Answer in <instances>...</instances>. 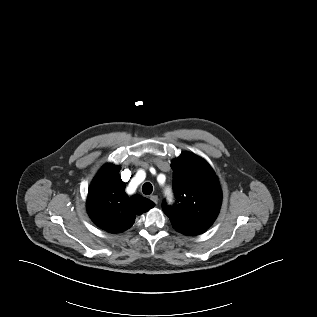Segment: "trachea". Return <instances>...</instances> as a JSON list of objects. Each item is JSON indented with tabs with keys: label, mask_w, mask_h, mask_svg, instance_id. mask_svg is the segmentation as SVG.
Listing matches in <instances>:
<instances>
[{
	"label": "trachea",
	"mask_w": 317,
	"mask_h": 317,
	"mask_svg": "<svg viewBox=\"0 0 317 317\" xmlns=\"http://www.w3.org/2000/svg\"><path fill=\"white\" fill-rule=\"evenodd\" d=\"M152 191H153L152 184L149 182L144 183V185L142 186V192L146 195H150Z\"/></svg>",
	"instance_id": "1"
}]
</instances>
